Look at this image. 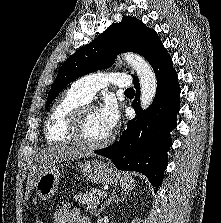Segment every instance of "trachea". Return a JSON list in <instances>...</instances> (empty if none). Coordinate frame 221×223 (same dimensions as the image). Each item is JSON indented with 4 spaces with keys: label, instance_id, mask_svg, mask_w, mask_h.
<instances>
[{
    "label": "trachea",
    "instance_id": "3493384b",
    "mask_svg": "<svg viewBox=\"0 0 221 223\" xmlns=\"http://www.w3.org/2000/svg\"><path fill=\"white\" fill-rule=\"evenodd\" d=\"M126 94H133L134 93V89L133 88H129L125 91Z\"/></svg>",
    "mask_w": 221,
    "mask_h": 223
}]
</instances>
